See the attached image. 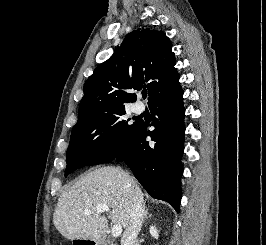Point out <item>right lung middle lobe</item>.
<instances>
[{"mask_svg":"<svg viewBox=\"0 0 266 245\" xmlns=\"http://www.w3.org/2000/svg\"><path fill=\"white\" fill-rule=\"evenodd\" d=\"M125 114L120 109L77 122L67 150L65 176L87 165L109 162L129 147L138 123L128 124Z\"/></svg>","mask_w":266,"mask_h":245,"instance_id":"1","label":"right lung middle lobe"}]
</instances>
